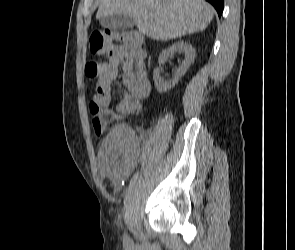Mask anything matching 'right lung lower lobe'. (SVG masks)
<instances>
[{
	"instance_id": "obj_1",
	"label": "right lung lower lobe",
	"mask_w": 295,
	"mask_h": 250,
	"mask_svg": "<svg viewBox=\"0 0 295 250\" xmlns=\"http://www.w3.org/2000/svg\"><path fill=\"white\" fill-rule=\"evenodd\" d=\"M206 1H208L214 6V8L216 9L220 17L223 12L224 0H206Z\"/></svg>"
}]
</instances>
